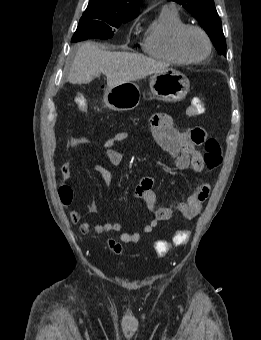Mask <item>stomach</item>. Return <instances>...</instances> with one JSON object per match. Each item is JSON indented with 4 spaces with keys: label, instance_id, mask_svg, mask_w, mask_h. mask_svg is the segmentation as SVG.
<instances>
[{
    "label": "stomach",
    "instance_id": "obj_1",
    "mask_svg": "<svg viewBox=\"0 0 261 340\" xmlns=\"http://www.w3.org/2000/svg\"><path fill=\"white\" fill-rule=\"evenodd\" d=\"M190 88L189 79L179 71L165 69L155 73L150 80L149 98L166 102L182 100ZM141 98L139 86L130 81L115 87H107L104 92L105 106L114 111H129L135 109Z\"/></svg>",
    "mask_w": 261,
    "mask_h": 340
}]
</instances>
